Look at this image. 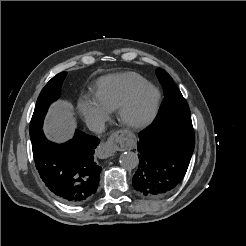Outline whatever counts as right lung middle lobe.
Masks as SVG:
<instances>
[{"instance_id": "dd1d6c3e", "label": "right lung middle lobe", "mask_w": 246, "mask_h": 246, "mask_svg": "<svg viewBox=\"0 0 246 246\" xmlns=\"http://www.w3.org/2000/svg\"><path fill=\"white\" fill-rule=\"evenodd\" d=\"M66 76V72H61L54 76L42 89L34 109V113L30 123L29 134L42 129L44 117L47 113V110L52 102L58 99L60 95V88L63 83V80Z\"/></svg>"}]
</instances>
